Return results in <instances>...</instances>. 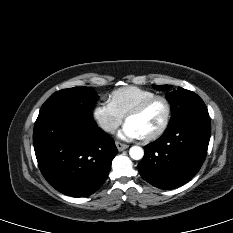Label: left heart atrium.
<instances>
[{"instance_id": "39dd6f15", "label": "left heart atrium", "mask_w": 233, "mask_h": 233, "mask_svg": "<svg viewBox=\"0 0 233 233\" xmlns=\"http://www.w3.org/2000/svg\"><path fill=\"white\" fill-rule=\"evenodd\" d=\"M119 138L125 140L139 139L141 138L140 133L136 130L134 126L126 123L123 128L118 133Z\"/></svg>"}]
</instances>
